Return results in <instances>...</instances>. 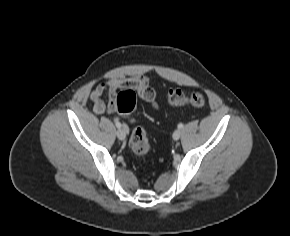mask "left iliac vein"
<instances>
[{"label":"left iliac vein","mask_w":290,"mask_h":236,"mask_svg":"<svg viewBox=\"0 0 290 236\" xmlns=\"http://www.w3.org/2000/svg\"><path fill=\"white\" fill-rule=\"evenodd\" d=\"M172 137H173L174 140H178L181 137V130L180 129L175 130L173 132Z\"/></svg>","instance_id":"4c4485c4"}]
</instances>
